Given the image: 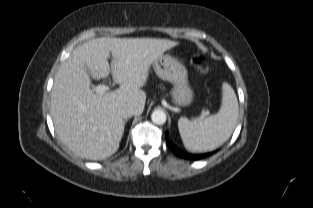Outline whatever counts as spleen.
I'll list each match as a JSON object with an SVG mask.
<instances>
[{
    "mask_svg": "<svg viewBox=\"0 0 313 208\" xmlns=\"http://www.w3.org/2000/svg\"><path fill=\"white\" fill-rule=\"evenodd\" d=\"M238 100L233 88L222 84V102L217 114L202 121H190L181 117L178 129L183 144L191 152L213 151L223 145L232 135L238 118Z\"/></svg>",
    "mask_w": 313,
    "mask_h": 208,
    "instance_id": "obj_1",
    "label": "spleen"
}]
</instances>
